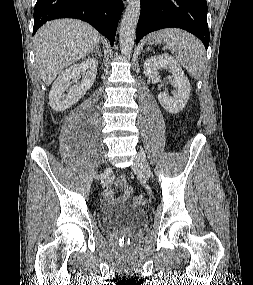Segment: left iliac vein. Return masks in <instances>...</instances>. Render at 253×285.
<instances>
[{
	"mask_svg": "<svg viewBox=\"0 0 253 285\" xmlns=\"http://www.w3.org/2000/svg\"><path fill=\"white\" fill-rule=\"evenodd\" d=\"M132 169L139 174H142L144 178L149 179L151 177L150 167L142 154L136 156L135 162L132 165Z\"/></svg>",
	"mask_w": 253,
	"mask_h": 285,
	"instance_id": "4c4485c4",
	"label": "left iliac vein"
}]
</instances>
